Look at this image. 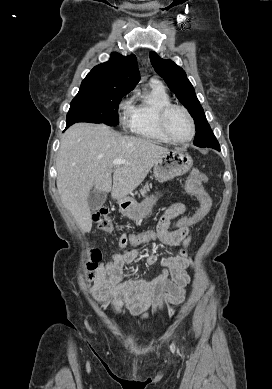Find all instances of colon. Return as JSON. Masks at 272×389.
I'll return each mask as SVG.
<instances>
[{
	"mask_svg": "<svg viewBox=\"0 0 272 389\" xmlns=\"http://www.w3.org/2000/svg\"><path fill=\"white\" fill-rule=\"evenodd\" d=\"M206 182H207V176L202 171L198 169H193L190 172V175L187 180V190L198 198L199 207L195 211H192L190 214H185L179 217L174 224L175 229L174 230L169 229V231H175L186 227H190L196 222H198L199 220H201L208 213L211 206V200L204 188V184ZM93 220L95 223L98 224V226L102 230L107 232L112 230V223L108 215L107 208L103 207L97 210L93 214ZM157 238H158V231L156 229V230L144 232L136 236H131L127 240V242L133 246L147 245L155 241ZM99 259H100V252L98 250H93L91 255V261L87 267V277L89 280H91L93 277V271L97 267V262L99 261Z\"/></svg>",
	"mask_w": 272,
	"mask_h": 389,
	"instance_id": "5ec220e1",
	"label": "colon"
}]
</instances>
